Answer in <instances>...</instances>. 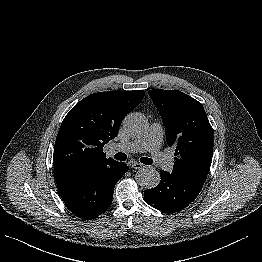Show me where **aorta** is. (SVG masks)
Wrapping results in <instances>:
<instances>
[{"label":"aorta","instance_id":"762f6f07","mask_svg":"<svg viewBox=\"0 0 262 262\" xmlns=\"http://www.w3.org/2000/svg\"><path fill=\"white\" fill-rule=\"evenodd\" d=\"M125 131L132 137L145 132L146 120L140 113H130L123 120ZM136 182L144 189L155 188L161 180L160 173L154 168H144L136 174Z\"/></svg>","mask_w":262,"mask_h":262}]
</instances>
